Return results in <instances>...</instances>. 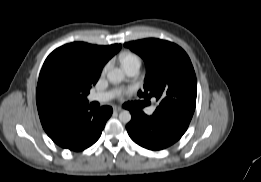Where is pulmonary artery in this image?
I'll return each mask as SVG.
<instances>
[{"mask_svg":"<svg viewBox=\"0 0 261 182\" xmlns=\"http://www.w3.org/2000/svg\"><path fill=\"white\" fill-rule=\"evenodd\" d=\"M139 68H140V65L134 64V65L125 67L124 71L128 77H133L138 73ZM115 94L116 93L114 91L97 92V93L90 94L88 96V100L90 102L96 101V102L104 103V102H107V101H110L111 99H113L115 97ZM155 109H156L155 107L147 108L146 114L149 116L152 115L154 113Z\"/></svg>","mask_w":261,"mask_h":182,"instance_id":"obj_1","label":"pulmonary artery"}]
</instances>
